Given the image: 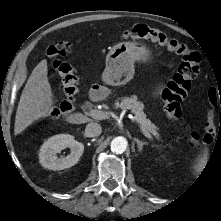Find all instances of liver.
<instances>
[{
    "mask_svg": "<svg viewBox=\"0 0 221 221\" xmlns=\"http://www.w3.org/2000/svg\"><path fill=\"white\" fill-rule=\"evenodd\" d=\"M47 60L37 64L29 76L22 91L15 116L14 133L20 134L34 121L49 116L54 109V96L48 81ZM72 124L90 122L91 119L81 113L66 117Z\"/></svg>",
    "mask_w": 221,
    "mask_h": 221,
    "instance_id": "6515ba94",
    "label": "liver"
}]
</instances>
